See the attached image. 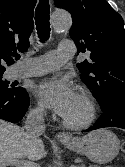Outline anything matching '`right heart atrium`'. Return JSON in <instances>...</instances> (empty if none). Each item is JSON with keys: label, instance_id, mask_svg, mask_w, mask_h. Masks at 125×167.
Masks as SVG:
<instances>
[{"label": "right heart atrium", "instance_id": "d8ad5b80", "mask_svg": "<svg viewBox=\"0 0 125 167\" xmlns=\"http://www.w3.org/2000/svg\"><path fill=\"white\" fill-rule=\"evenodd\" d=\"M31 114L36 118H43L44 116V108L40 104H36L31 108Z\"/></svg>", "mask_w": 125, "mask_h": 167}]
</instances>
